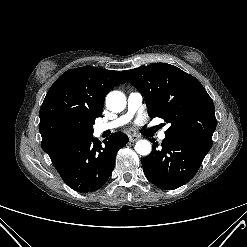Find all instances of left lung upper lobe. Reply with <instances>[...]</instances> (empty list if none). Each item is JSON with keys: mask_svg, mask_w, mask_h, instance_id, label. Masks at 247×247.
Segmentation results:
<instances>
[{"mask_svg": "<svg viewBox=\"0 0 247 247\" xmlns=\"http://www.w3.org/2000/svg\"><path fill=\"white\" fill-rule=\"evenodd\" d=\"M123 74L143 94L149 116L170 123L166 137L211 149L216 129L215 108L196 78L167 63L142 66Z\"/></svg>", "mask_w": 247, "mask_h": 247, "instance_id": "1", "label": "left lung upper lobe"}]
</instances>
